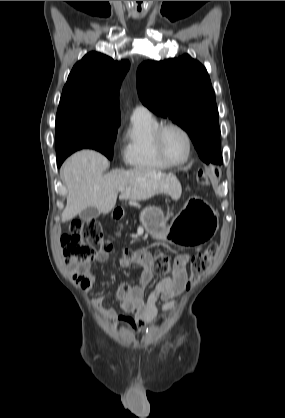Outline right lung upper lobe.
I'll return each mask as SVG.
<instances>
[{"mask_svg": "<svg viewBox=\"0 0 285 418\" xmlns=\"http://www.w3.org/2000/svg\"><path fill=\"white\" fill-rule=\"evenodd\" d=\"M130 67L128 60L90 52L77 62L63 88L58 109L92 111L119 119L118 90Z\"/></svg>", "mask_w": 285, "mask_h": 418, "instance_id": "1", "label": "right lung upper lobe"}]
</instances>
